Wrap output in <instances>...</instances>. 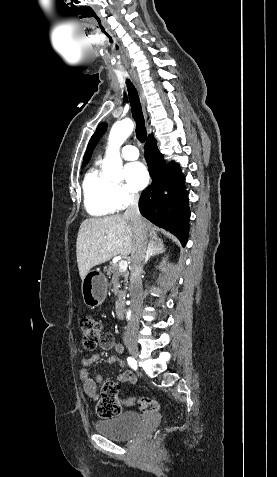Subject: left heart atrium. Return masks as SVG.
<instances>
[{
  "instance_id": "left-heart-atrium-1",
  "label": "left heart atrium",
  "mask_w": 277,
  "mask_h": 477,
  "mask_svg": "<svg viewBox=\"0 0 277 477\" xmlns=\"http://www.w3.org/2000/svg\"><path fill=\"white\" fill-rule=\"evenodd\" d=\"M124 172L128 186L133 191H139L147 185L149 175L145 166L142 163H129L125 166Z\"/></svg>"
}]
</instances>
